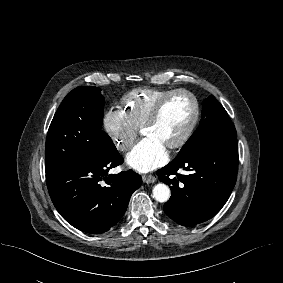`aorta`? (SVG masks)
Segmentation results:
<instances>
[{
  "label": "aorta",
  "instance_id": "aorta-1",
  "mask_svg": "<svg viewBox=\"0 0 283 283\" xmlns=\"http://www.w3.org/2000/svg\"><path fill=\"white\" fill-rule=\"evenodd\" d=\"M153 197L158 202H166L170 198V189L169 187L164 183H159L154 186L153 188Z\"/></svg>",
  "mask_w": 283,
  "mask_h": 283
}]
</instances>
